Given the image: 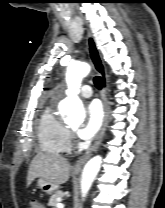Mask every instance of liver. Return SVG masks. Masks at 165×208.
<instances>
[{
	"label": "liver",
	"instance_id": "1",
	"mask_svg": "<svg viewBox=\"0 0 165 208\" xmlns=\"http://www.w3.org/2000/svg\"><path fill=\"white\" fill-rule=\"evenodd\" d=\"M69 173L70 164L67 159L60 155L39 153L30 163L27 176V186L38 177L46 179L59 186L68 181Z\"/></svg>",
	"mask_w": 165,
	"mask_h": 208
}]
</instances>
